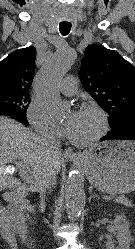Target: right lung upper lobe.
Listing matches in <instances>:
<instances>
[{"instance_id":"obj_1","label":"right lung upper lobe","mask_w":135,"mask_h":249,"mask_svg":"<svg viewBox=\"0 0 135 249\" xmlns=\"http://www.w3.org/2000/svg\"><path fill=\"white\" fill-rule=\"evenodd\" d=\"M36 49L16 50L0 62V91L29 92L34 73Z\"/></svg>"}]
</instances>
